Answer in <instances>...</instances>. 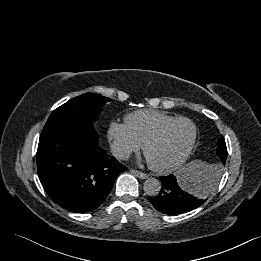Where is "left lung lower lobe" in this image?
Instances as JSON below:
<instances>
[{
    "mask_svg": "<svg viewBox=\"0 0 261 261\" xmlns=\"http://www.w3.org/2000/svg\"><path fill=\"white\" fill-rule=\"evenodd\" d=\"M222 163L225 165V161ZM220 173L221 165L202 169L191 180L188 179V188L182 183L184 174L162 176V188L158 196L150 199V202L158 211L168 215L194 210L207 200L206 197L216 186Z\"/></svg>",
    "mask_w": 261,
    "mask_h": 261,
    "instance_id": "obj_1",
    "label": "left lung lower lobe"
}]
</instances>
